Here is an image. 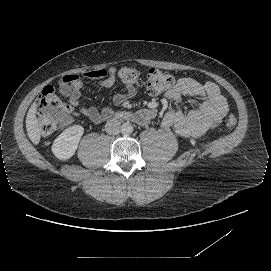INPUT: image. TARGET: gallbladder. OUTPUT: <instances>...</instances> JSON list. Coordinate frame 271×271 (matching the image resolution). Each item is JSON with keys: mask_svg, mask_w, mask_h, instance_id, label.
I'll use <instances>...</instances> for the list:
<instances>
[{"mask_svg": "<svg viewBox=\"0 0 271 271\" xmlns=\"http://www.w3.org/2000/svg\"><path fill=\"white\" fill-rule=\"evenodd\" d=\"M58 91L61 95L66 96L70 93L71 88L68 84L63 83L59 86Z\"/></svg>", "mask_w": 271, "mask_h": 271, "instance_id": "1", "label": "gallbladder"}]
</instances>
